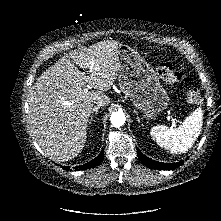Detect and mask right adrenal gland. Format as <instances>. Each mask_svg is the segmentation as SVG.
Masks as SVG:
<instances>
[{"instance_id":"1","label":"right adrenal gland","mask_w":221,"mask_h":221,"mask_svg":"<svg viewBox=\"0 0 221 221\" xmlns=\"http://www.w3.org/2000/svg\"><path fill=\"white\" fill-rule=\"evenodd\" d=\"M101 108V106H95L91 112V116H90V120L89 123L91 124V122L93 121V116L98 114V110Z\"/></svg>"}]
</instances>
